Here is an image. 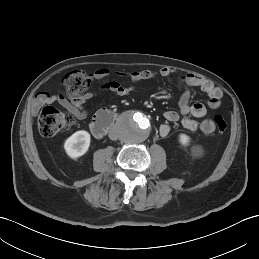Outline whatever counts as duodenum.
Returning a JSON list of instances; mask_svg holds the SVG:
<instances>
[{
	"instance_id": "410a0bca",
	"label": "duodenum",
	"mask_w": 259,
	"mask_h": 259,
	"mask_svg": "<svg viewBox=\"0 0 259 259\" xmlns=\"http://www.w3.org/2000/svg\"><path fill=\"white\" fill-rule=\"evenodd\" d=\"M116 115L110 110L99 111L91 122V132L95 137H102L113 126Z\"/></svg>"
}]
</instances>
